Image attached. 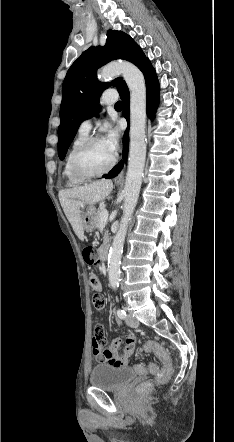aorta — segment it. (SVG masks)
Wrapping results in <instances>:
<instances>
[{
  "label": "aorta",
  "mask_w": 234,
  "mask_h": 442,
  "mask_svg": "<svg viewBox=\"0 0 234 442\" xmlns=\"http://www.w3.org/2000/svg\"><path fill=\"white\" fill-rule=\"evenodd\" d=\"M122 74L130 91V147L128 170L124 187V207L119 229L109 252L110 286L115 290L120 281V261L128 223L138 201L146 159V84L143 73L132 63L115 62L98 72L101 81Z\"/></svg>",
  "instance_id": "aorta-1"
}]
</instances>
